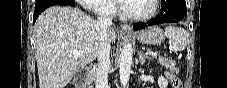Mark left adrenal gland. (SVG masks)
Wrapping results in <instances>:
<instances>
[{
	"label": "left adrenal gland",
	"mask_w": 227,
	"mask_h": 88,
	"mask_svg": "<svg viewBox=\"0 0 227 88\" xmlns=\"http://www.w3.org/2000/svg\"><path fill=\"white\" fill-rule=\"evenodd\" d=\"M138 58H139L140 64H141V65H144L147 56H146L145 54H143V52H139Z\"/></svg>",
	"instance_id": "a2214340"
}]
</instances>
